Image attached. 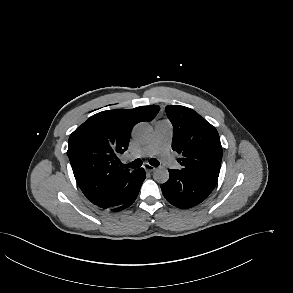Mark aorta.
<instances>
[{
  "mask_svg": "<svg viewBox=\"0 0 293 293\" xmlns=\"http://www.w3.org/2000/svg\"><path fill=\"white\" fill-rule=\"evenodd\" d=\"M132 134L137 142L144 143L151 139L153 129L148 123L141 122L134 127ZM153 178L156 182L163 184L168 181L169 172L165 167H158L153 173Z\"/></svg>",
  "mask_w": 293,
  "mask_h": 293,
  "instance_id": "aorta-1",
  "label": "aorta"
}]
</instances>
